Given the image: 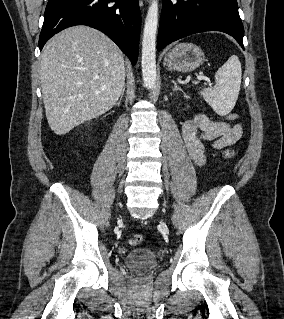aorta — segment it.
<instances>
[{"label": "aorta", "mask_w": 284, "mask_h": 319, "mask_svg": "<svg viewBox=\"0 0 284 319\" xmlns=\"http://www.w3.org/2000/svg\"><path fill=\"white\" fill-rule=\"evenodd\" d=\"M158 0H152L144 24L142 37V78L147 89H153L156 82V34L158 26Z\"/></svg>", "instance_id": "aorta-1"}]
</instances>
